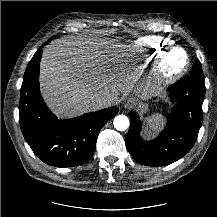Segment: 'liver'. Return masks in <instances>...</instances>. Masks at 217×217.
<instances>
[{
  "mask_svg": "<svg viewBox=\"0 0 217 217\" xmlns=\"http://www.w3.org/2000/svg\"><path fill=\"white\" fill-rule=\"evenodd\" d=\"M138 71L123 56L104 43L86 36H65L43 51L40 87L49 108L58 116L71 118L91 111L88 98L102 96L115 104L128 95L138 80ZM148 97V88H137Z\"/></svg>",
  "mask_w": 217,
  "mask_h": 217,
  "instance_id": "obj_1",
  "label": "liver"
}]
</instances>
